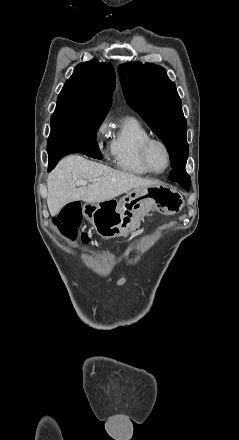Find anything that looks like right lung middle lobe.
I'll use <instances>...</instances> for the list:
<instances>
[{"mask_svg": "<svg viewBox=\"0 0 239 440\" xmlns=\"http://www.w3.org/2000/svg\"><path fill=\"white\" fill-rule=\"evenodd\" d=\"M105 115L79 114L66 109H55L51 116L48 155L97 144L98 131Z\"/></svg>", "mask_w": 239, "mask_h": 440, "instance_id": "obj_1", "label": "right lung middle lobe"}]
</instances>
